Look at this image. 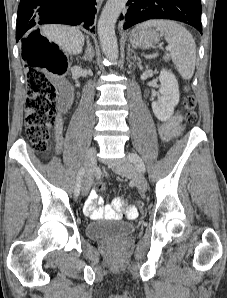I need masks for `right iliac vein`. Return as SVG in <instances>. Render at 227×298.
Here are the masks:
<instances>
[{"mask_svg": "<svg viewBox=\"0 0 227 298\" xmlns=\"http://www.w3.org/2000/svg\"><path fill=\"white\" fill-rule=\"evenodd\" d=\"M95 163H96V148L92 147L88 150L85 156V182H84V187H83V192L84 194H87L89 191V188L91 186L92 178L94 175V168H95Z\"/></svg>", "mask_w": 227, "mask_h": 298, "instance_id": "63e3f726", "label": "right iliac vein"}]
</instances>
